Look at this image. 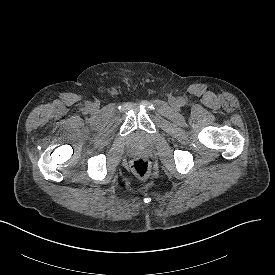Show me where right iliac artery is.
Returning <instances> with one entry per match:
<instances>
[{
    "instance_id": "right-iliac-artery-1",
    "label": "right iliac artery",
    "mask_w": 275,
    "mask_h": 275,
    "mask_svg": "<svg viewBox=\"0 0 275 275\" xmlns=\"http://www.w3.org/2000/svg\"><path fill=\"white\" fill-rule=\"evenodd\" d=\"M87 110L89 109V106H87V108H86Z\"/></svg>"
}]
</instances>
